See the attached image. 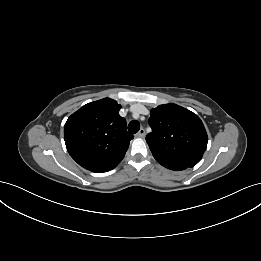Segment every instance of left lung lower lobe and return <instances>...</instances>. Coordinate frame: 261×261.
I'll return each mask as SVG.
<instances>
[{"label":"left lung lower lobe","instance_id":"0a47b994","mask_svg":"<svg viewBox=\"0 0 261 261\" xmlns=\"http://www.w3.org/2000/svg\"><path fill=\"white\" fill-rule=\"evenodd\" d=\"M155 159L157 160V162L159 164H161L162 166H164L170 170L180 171V170H184V169L188 168L187 166L175 164V163L163 160V159H159V158H155Z\"/></svg>","mask_w":261,"mask_h":261}]
</instances>
